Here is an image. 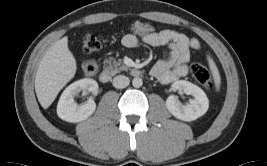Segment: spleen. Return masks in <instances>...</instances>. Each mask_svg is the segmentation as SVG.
Instances as JSON below:
<instances>
[{"label": "spleen", "instance_id": "obj_1", "mask_svg": "<svg viewBox=\"0 0 267 166\" xmlns=\"http://www.w3.org/2000/svg\"><path fill=\"white\" fill-rule=\"evenodd\" d=\"M209 64H210V68L212 70L214 81L216 83V87L219 88V86H220V75H219L218 69L216 68V66H215L213 61L210 60Z\"/></svg>", "mask_w": 267, "mask_h": 166}]
</instances>
